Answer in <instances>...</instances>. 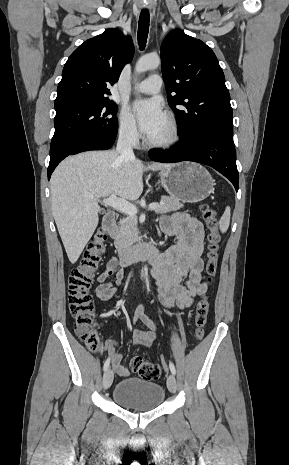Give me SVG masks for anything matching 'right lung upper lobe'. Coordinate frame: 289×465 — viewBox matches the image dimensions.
<instances>
[{
  "label": "right lung upper lobe",
  "instance_id": "obj_1",
  "mask_svg": "<svg viewBox=\"0 0 289 465\" xmlns=\"http://www.w3.org/2000/svg\"><path fill=\"white\" fill-rule=\"evenodd\" d=\"M134 55L130 37L117 29L82 43L68 58L58 84L55 105L73 101L109 99L107 88L118 81L123 67Z\"/></svg>",
  "mask_w": 289,
  "mask_h": 465
}]
</instances>
